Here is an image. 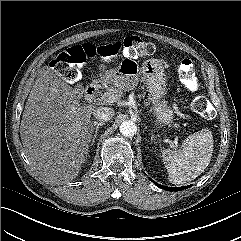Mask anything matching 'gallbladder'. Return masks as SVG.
Here are the masks:
<instances>
[{"instance_id": "obj_1", "label": "gallbladder", "mask_w": 241, "mask_h": 241, "mask_svg": "<svg viewBox=\"0 0 241 241\" xmlns=\"http://www.w3.org/2000/svg\"><path fill=\"white\" fill-rule=\"evenodd\" d=\"M77 89L79 90V92H82V91H83L82 85H78V86H77Z\"/></svg>"}]
</instances>
